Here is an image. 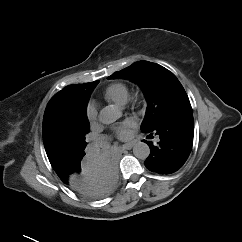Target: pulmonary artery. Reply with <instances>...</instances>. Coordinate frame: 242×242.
Returning <instances> with one entry per match:
<instances>
[{
	"label": "pulmonary artery",
	"mask_w": 242,
	"mask_h": 242,
	"mask_svg": "<svg viewBox=\"0 0 242 242\" xmlns=\"http://www.w3.org/2000/svg\"><path fill=\"white\" fill-rule=\"evenodd\" d=\"M101 144H102V142H98L95 144V146L97 147V146H100Z\"/></svg>",
	"instance_id": "e3ab8cb5"
}]
</instances>
